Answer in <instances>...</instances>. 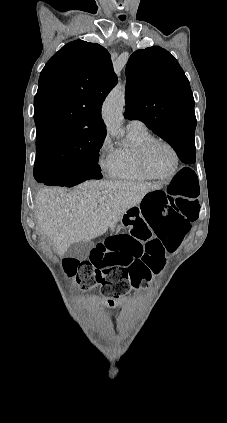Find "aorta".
I'll list each match as a JSON object with an SVG mask.
<instances>
[{"label":"aorta","mask_w":227,"mask_h":423,"mask_svg":"<svg viewBox=\"0 0 227 423\" xmlns=\"http://www.w3.org/2000/svg\"><path fill=\"white\" fill-rule=\"evenodd\" d=\"M125 88L117 85L106 97L102 107V118L107 132L117 136L121 131L123 109L125 106Z\"/></svg>","instance_id":"1"}]
</instances>
